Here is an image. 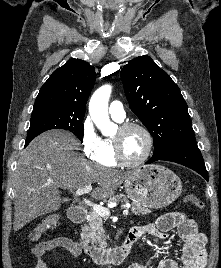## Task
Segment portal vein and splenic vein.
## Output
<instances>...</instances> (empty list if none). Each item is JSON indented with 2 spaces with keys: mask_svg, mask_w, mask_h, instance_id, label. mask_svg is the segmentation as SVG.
Returning <instances> with one entry per match:
<instances>
[{
  "mask_svg": "<svg viewBox=\"0 0 221 268\" xmlns=\"http://www.w3.org/2000/svg\"><path fill=\"white\" fill-rule=\"evenodd\" d=\"M91 190H92V186L87 185L84 188L77 189L75 194H76V196H81L85 193L90 192ZM83 201L87 206L92 207L93 211L96 212L99 216H101V217H109L110 216V211L108 208L103 207L99 204H95L88 199H84ZM128 214H129V209L127 207L123 210V215H128Z\"/></svg>",
  "mask_w": 221,
  "mask_h": 268,
  "instance_id": "obj_1",
  "label": "portal vein and splenic vein"
}]
</instances>
